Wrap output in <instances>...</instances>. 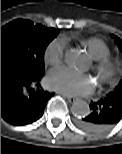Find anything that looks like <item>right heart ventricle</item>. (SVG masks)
<instances>
[{
    "mask_svg": "<svg viewBox=\"0 0 122 154\" xmlns=\"http://www.w3.org/2000/svg\"><path fill=\"white\" fill-rule=\"evenodd\" d=\"M69 39V37L64 38L65 41H68ZM79 42L88 50V53L93 60L102 59L110 55L109 47L102 40L89 38L81 39Z\"/></svg>",
    "mask_w": 122,
    "mask_h": 154,
    "instance_id": "obj_1",
    "label": "right heart ventricle"
}]
</instances>
